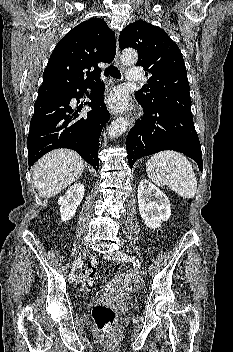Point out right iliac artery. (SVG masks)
<instances>
[{"label":"right iliac artery","mask_w":233,"mask_h":352,"mask_svg":"<svg viewBox=\"0 0 233 352\" xmlns=\"http://www.w3.org/2000/svg\"><path fill=\"white\" fill-rule=\"evenodd\" d=\"M83 264L82 260L80 258H77L73 264H72V271L71 273L69 274V281L70 282H73L74 281V272L77 268L81 267Z\"/></svg>","instance_id":"right-iliac-artery-1"}]
</instances>
